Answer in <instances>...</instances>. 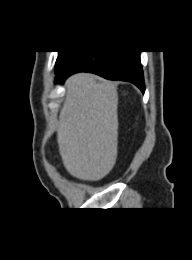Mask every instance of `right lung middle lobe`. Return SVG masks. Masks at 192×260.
<instances>
[{"mask_svg":"<svg viewBox=\"0 0 192 260\" xmlns=\"http://www.w3.org/2000/svg\"><path fill=\"white\" fill-rule=\"evenodd\" d=\"M80 52L74 51H60L59 56L56 61V75L63 71L66 66L73 61Z\"/></svg>","mask_w":192,"mask_h":260,"instance_id":"obj_1","label":"right lung middle lobe"}]
</instances>
